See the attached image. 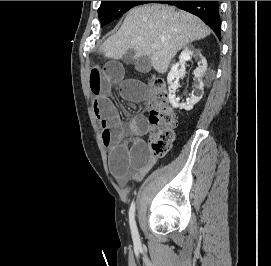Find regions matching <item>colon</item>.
Returning <instances> with one entry per match:
<instances>
[{
	"mask_svg": "<svg viewBox=\"0 0 271 266\" xmlns=\"http://www.w3.org/2000/svg\"><path fill=\"white\" fill-rule=\"evenodd\" d=\"M148 86L154 95L150 103L149 150L154 157H163L174 141L177 116L170 105L164 80L153 76Z\"/></svg>",
	"mask_w": 271,
	"mask_h": 266,
	"instance_id": "colon-1",
	"label": "colon"
}]
</instances>
